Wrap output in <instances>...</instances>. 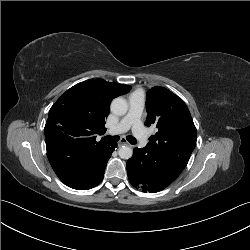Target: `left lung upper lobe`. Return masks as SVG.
I'll return each mask as SVG.
<instances>
[{
  "mask_svg": "<svg viewBox=\"0 0 250 250\" xmlns=\"http://www.w3.org/2000/svg\"><path fill=\"white\" fill-rule=\"evenodd\" d=\"M146 110L145 125L158 128L147 146L158 154L170 150L178 163H187L196 146L197 131L184 101L164 87H153L147 92Z\"/></svg>",
  "mask_w": 250,
  "mask_h": 250,
  "instance_id": "obj_1",
  "label": "left lung upper lobe"
}]
</instances>
